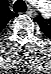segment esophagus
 <instances>
[{"mask_svg":"<svg viewBox=\"0 0 51 74\" xmlns=\"http://www.w3.org/2000/svg\"><path fill=\"white\" fill-rule=\"evenodd\" d=\"M27 14L33 16L35 14V11L30 9L27 11Z\"/></svg>","mask_w":51,"mask_h":74,"instance_id":"obj_1","label":"esophagus"}]
</instances>
